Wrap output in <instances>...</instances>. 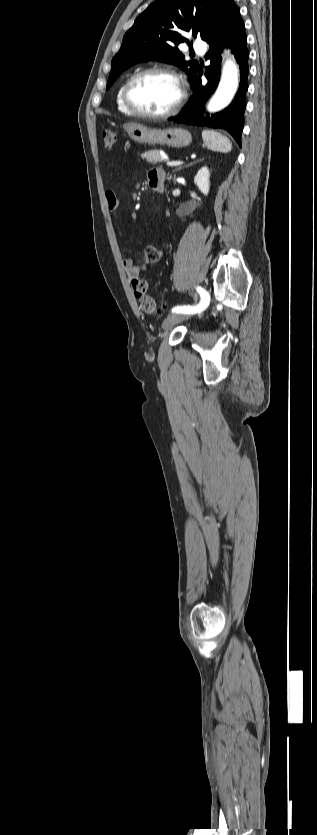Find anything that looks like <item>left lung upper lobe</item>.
<instances>
[{"label":"left lung upper lobe","mask_w":317,"mask_h":835,"mask_svg":"<svg viewBox=\"0 0 317 835\" xmlns=\"http://www.w3.org/2000/svg\"><path fill=\"white\" fill-rule=\"evenodd\" d=\"M229 0H158L141 13L123 37L122 46L112 60L107 82L109 89L130 66L151 59L163 60L184 70L191 80L199 67L185 60L178 50L189 41L186 32L205 41L224 24Z\"/></svg>","instance_id":"obj_1"}]
</instances>
